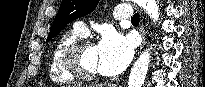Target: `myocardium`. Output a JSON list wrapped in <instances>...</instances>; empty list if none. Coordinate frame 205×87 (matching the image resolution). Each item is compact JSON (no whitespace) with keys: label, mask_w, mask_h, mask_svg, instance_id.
<instances>
[{"label":"myocardium","mask_w":205,"mask_h":87,"mask_svg":"<svg viewBox=\"0 0 205 87\" xmlns=\"http://www.w3.org/2000/svg\"><path fill=\"white\" fill-rule=\"evenodd\" d=\"M94 46L88 39H79L66 48L62 56L65 70L75 79L83 82L93 81L99 77L98 73H86L80 65V55L86 47Z\"/></svg>","instance_id":"obj_1"}]
</instances>
